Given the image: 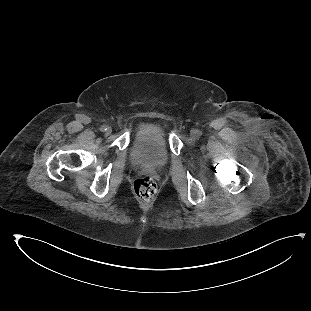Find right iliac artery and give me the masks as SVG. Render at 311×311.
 Here are the masks:
<instances>
[{
	"instance_id": "obj_1",
	"label": "right iliac artery",
	"mask_w": 311,
	"mask_h": 311,
	"mask_svg": "<svg viewBox=\"0 0 311 311\" xmlns=\"http://www.w3.org/2000/svg\"><path fill=\"white\" fill-rule=\"evenodd\" d=\"M106 129H107V127H106L105 125L101 126V128H100V130H101L102 132L106 131Z\"/></svg>"
}]
</instances>
